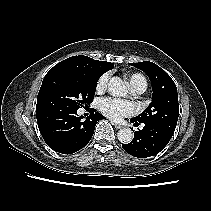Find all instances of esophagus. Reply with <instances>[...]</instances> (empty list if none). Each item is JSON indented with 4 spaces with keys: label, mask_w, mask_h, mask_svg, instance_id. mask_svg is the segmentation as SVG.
<instances>
[{
    "label": "esophagus",
    "mask_w": 211,
    "mask_h": 211,
    "mask_svg": "<svg viewBox=\"0 0 211 211\" xmlns=\"http://www.w3.org/2000/svg\"><path fill=\"white\" fill-rule=\"evenodd\" d=\"M111 123H112V125H114V127L117 128V129L123 128V126H122L121 124L115 123V122H113V121H111Z\"/></svg>",
    "instance_id": "obj_1"
}]
</instances>
